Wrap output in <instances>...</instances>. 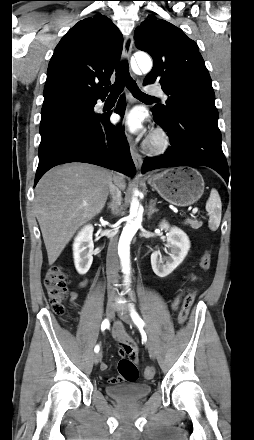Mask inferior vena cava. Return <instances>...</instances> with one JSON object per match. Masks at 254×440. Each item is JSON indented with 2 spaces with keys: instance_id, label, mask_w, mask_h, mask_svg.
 I'll list each match as a JSON object with an SVG mask.
<instances>
[{
  "instance_id": "602c4592",
  "label": "inferior vena cava",
  "mask_w": 254,
  "mask_h": 440,
  "mask_svg": "<svg viewBox=\"0 0 254 440\" xmlns=\"http://www.w3.org/2000/svg\"><path fill=\"white\" fill-rule=\"evenodd\" d=\"M114 181V180H113ZM110 195H111V205L113 207V214L119 213V206L121 205V191L119 190L117 184L111 183L109 187ZM106 272H107V280H108V294L114 295L116 293V288L112 286V284L116 281L118 277V255H117V238L113 236L110 238L108 251H107V259H106Z\"/></svg>"
}]
</instances>
